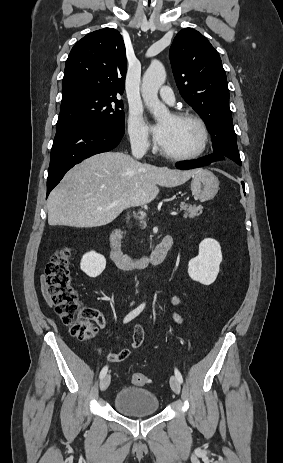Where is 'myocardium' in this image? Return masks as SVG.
<instances>
[{
	"instance_id": "1",
	"label": "myocardium",
	"mask_w": 283,
	"mask_h": 463,
	"mask_svg": "<svg viewBox=\"0 0 283 463\" xmlns=\"http://www.w3.org/2000/svg\"><path fill=\"white\" fill-rule=\"evenodd\" d=\"M175 120H190L194 122L201 132V143L199 148L188 154H172L161 148L158 149L159 153L167 159L174 161H190L200 157L207 149L209 143V131L205 121L196 113L189 111L176 112L171 115Z\"/></svg>"
}]
</instances>
